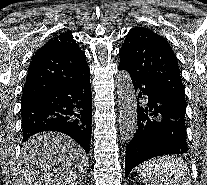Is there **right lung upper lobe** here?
<instances>
[{
    "label": "right lung upper lobe",
    "mask_w": 207,
    "mask_h": 185,
    "mask_svg": "<svg viewBox=\"0 0 207 185\" xmlns=\"http://www.w3.org/2000/svg\"><path fill=\"white\" fill-rule=\"evenodd\" d=\"M90 73L84 52L73 36L62 33L50 39L33 56L21 105L52 93L71 81H77Z\"/></svg>",
    "instance_id": "cb5924a9"
}]
</instances>
